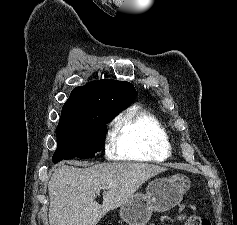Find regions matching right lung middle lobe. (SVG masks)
Returning a JSON list of instances; mask_svg holds the SVG:
<instances>
[{
  "label": "right lung middle lobe",
  "mask_w": 237,
  "mask_h": 225,
  "mask_svg": "<svg viewBox=\"0 0 237 225\" xmlns=\"http://www.w3.org/2000/svg\"><path fill=\"white\" fill-rule=\"evenodd\" d=\"M117 113L98 112L89 122L60 120L57 126V149L53 162L63 159L92 158L104 146L106 123Z\"/></svg>",
  "instance_id": "right-lung-middle-lobe-1"
}]
</instances>
